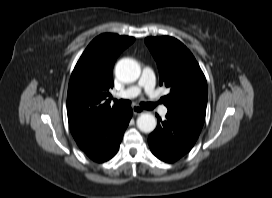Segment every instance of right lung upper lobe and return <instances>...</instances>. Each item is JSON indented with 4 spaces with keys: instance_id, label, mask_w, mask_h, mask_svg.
Segmentation results:
<instances>
[{
    "instance_id": "right-lung-upper-lobe-1",
    "label": "right lung upper lobe",
    "mask_w": 272,
    "mask_h": 198,
    "mask_svg": "<svg viewBox=\"0 0 272 198\" xmlns=\"http://www.w3.org/2000/svg\"><path fill=\"white\" fill-rule=\"evenodd\" d=\"M135 38L104 33L96 37L78 60L68 86L67 114L74 139L82 137L119 109L106 99L113 88L112 71L119 54Z\"/></svg>"
}]
</instances>
